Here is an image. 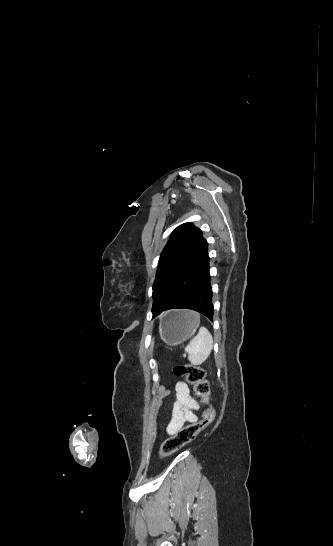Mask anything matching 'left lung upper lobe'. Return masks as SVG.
Wrapping results in <instances>:
<instances>
[{"label":"left lung upper lobe","instance_id":"1","mask_svg":"<svg viewBox=\"0 0 333 546\" xmlns=\"http://www.w3.org/2000/svg\"><path fill=\"white\" fill-rule=\"evenodd\" d=\"M205 239L191 223L177 227L164 247L153 284V317L160 314L168 290L176 277L199 255Z\"/></svg>","mask_w":333,"mask_h":546}]
</instances>
